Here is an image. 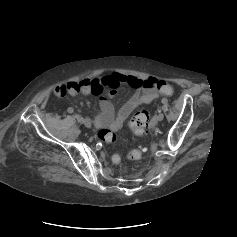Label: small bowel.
Returning a JSON list of instances; mask_svg holds the SVG:
<instances>
[{
	"label": "small bowel",
	"instance_id": "small-bowel-1",
	"mask_svg": "<svg viewBox=\"0 0 237 237\" xmlns=\"http://www.w3.org/2000/svg\"><path fill=\"white\" fill-rule=\"evenodd\" d=\"M158 83L159 81L155 77L139 79L133 76L113 73L102 78L86 79L80 82L59 85L54 89V94L57 97H63L66 94L76 95L78 93L101 95L104 91H107L110 96H113L119 86L123 84L129 85L134 89V93L118 111L117 115H114V107L111 102L101 98L99 111L95 117L97 126L117 130L132 111L139 106L151 103L158 97Z\"/></svg>",
	"mask_w": 237,
	"mask_h": 237
}]
</instances>
